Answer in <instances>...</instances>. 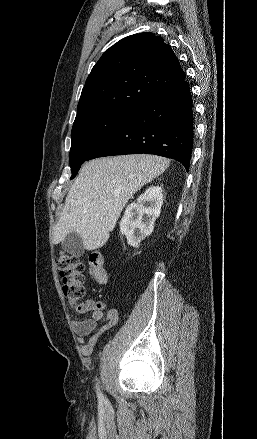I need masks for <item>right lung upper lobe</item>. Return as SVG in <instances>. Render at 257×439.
<instances>
[{"label":"right lung upper lobe","instance_id":"obj_1","mask_svg":"<svg viewBox=\"0 0 257 439\" xmlns=\"http://www.w3.org/2000/svg\"><path fill=\"white\" fill-rule=\"evenodd\" d=\"M184 79L177 57L161 37L148 32L125 37L92 68L77 116L101 111L132 114Z\"/></svg>","mask_w":257,"mask_h":439}]
</instances>
